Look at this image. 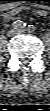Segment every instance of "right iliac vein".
I'll return each mask as SVG.
<instances>
[{
	"mask_svg": "<svg viewBox=\"0 0 50 111\" xmlns=\"http://www.w3.org/2000/svg\"><path fill=\"white\" fill-rule=\"evenodd\" d=\"M16 33H17V31H16L15 29H11V30L8 31L7 35H8L9 37H12V36H14Z\"/></svg>",
	"mask_w": 50,
	"mask_h": 111,
	"instance_id": "1",
	"label": "right iliac vein"
}]
</instances>
